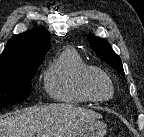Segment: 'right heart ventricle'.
<instances>
[{
	"instance_id": "right-heart-ventricle-1",
	"label": "right heart ventricle",
	"mask_w": 144,
	"mask_h": 137,
	"mask_svg": "<svg viewBox=\"0 0 144 137\" xmlns=\"http://www.w3.org/2000/svg\"><path fill=\"white\" fill-rule=\"evenodd\" d=\"M89 65L73 47L61 50L43 74L47 94L60 103L85 104L92 101L82 91L81 76Z\"/></svg>"
}]
</instances>
